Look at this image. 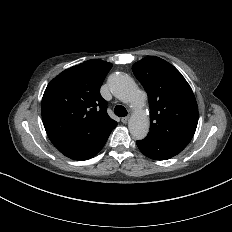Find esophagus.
<instances>
[{
  "label": "esophagus",
  "instance_id": "obj_1",
  "mask_svg": "<svg viewBox=\"0 0 232 232\" xmlns=\"http://www.w3.org/2000/svg\"><path fill=\"white\" fill-rule=\"evenodd\" d=\"M128 119H129V116H126V117H123V118L121 119V121H122L123 124H126L127 121H128Z\"/></svg>",
  "mask_w": 232,
  "mask_h": 232
}]
</instances>
